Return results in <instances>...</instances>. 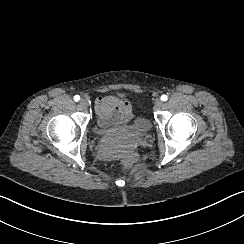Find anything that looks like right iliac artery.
Masks as SVG:
<instances>
[{
    "mask_svg": "<svg viewBox=\"0 0 244 244\" xmlns=\"http://www.w3.org/2000/svg\"><path fill=\"white\" fill-rule=\"evenodd\" d=\"M74 100H75L76 102L79 101V100H80V96H79V95L74 96Z\"/></svg>",
    "mask_w": 244,
    "mask_h": 244,
    "instance_id": "1",
    "label": "right iliac artery"
}]
</instances>
